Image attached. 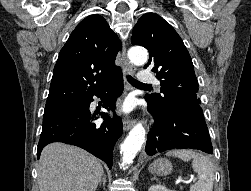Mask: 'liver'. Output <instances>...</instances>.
<instances>
[{
    "label": "liver",
    "mask_w": 251,
    "mask_h": 191,
    "mask_svg": "<svg viewBox=\"0 0 251 191\" xmlns=\"http://www.w3.org/2000/svg\"><path fill=\"white\" fill-rule=\"evenodd\" d=\"M103 167L94 155L66 143L43 147L38 165L40 191H95Z\"/></svg>",
    "instance_id": "obj_1"
}]
</instances>
